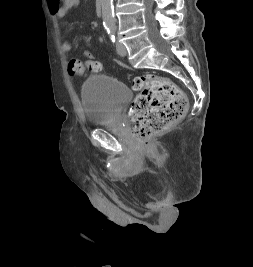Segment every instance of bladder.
Segmentation results:
<instances>
[{
  "instance_id": "31cf9c89",
  "label": "bladder",
  "mask_w": 253,
  "mask_h": 267,
  "mask_svg": "<svg viewBox=\"0 0 253 267\" xmlns=\"http://www.w3.org/2000/svg\"><path fill=\"white\" fill-rule=\"evenodd\" d=\"M80 94L86 122L94 127L114 122L132 97L125 84L106 75L89 76Z\"/></svg>"
}]
</instances>
